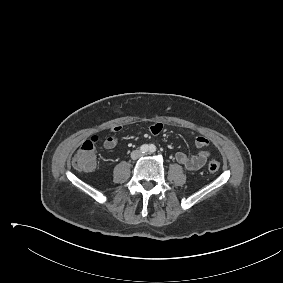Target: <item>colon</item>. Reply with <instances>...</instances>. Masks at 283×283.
<instances>
[{
	"instance_id": "colon-1",
	"label": "colon",
	"mask_w": 283,
	"mask_h": 283,
	"mask_svg": "<svg viewBox=\"0 0 283 283\" xmlns=\"http://www.w3.org/2000/svg\"><path fill=\"white\" fill-rule=\"evenodd\" d=\"M97 141L98 138L93 136L82 144L72 160V165L76 170L84 172L93 170L95 166L94 151ZM207 167L210 172H216L220 168V163L219 161L212 159L208 162Z\"/></svg>"
}]
</instances>
